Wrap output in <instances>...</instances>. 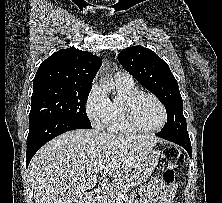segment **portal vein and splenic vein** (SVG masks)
Wrapping results in <instances>:
<instances>
[{"label":"portal vein and splenic vein","instance_id":"1","mask_svg":"<svg viewBox=\"0 0 222 203\" xmlns=\"http://www.w3.org/2000/svg\"><path fill=\"white\" fill-rule=\"evenodd\" d=\"M103 168H104L103 166H99L98 168H96L94 170V172L97 173V172L101 171Z\"/></svg>","mask_w":222,"mask_h":203}]
</instances>
